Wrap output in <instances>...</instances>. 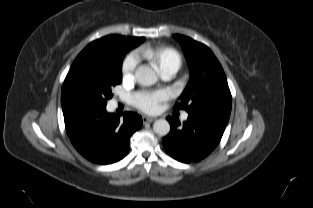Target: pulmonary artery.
<instances>
[{"instance_id":"obj_1","label":"pulmonary artery","mask_w":313,"mask_h":208,"mask_svg":"<svg viewBox=\"0 0 313 208\" xmlns=\"http://www.w3.org/2000/svg\"><path fill=\"white\" fill-rule=\"evenodd\" d=\"M175 73H176L175 70L170 69V70H166V71L162 72V73H161V76H162V78H163L164 80H170V79L174 76ZM187 118H188V114H187V113H184V114L182 115V119H183V120H186Z\"/></svg>"}]
</instances>
